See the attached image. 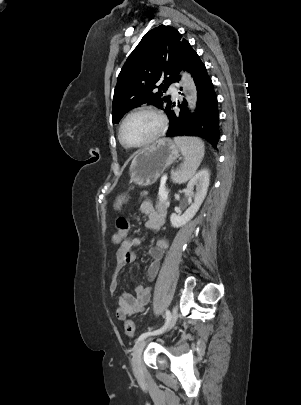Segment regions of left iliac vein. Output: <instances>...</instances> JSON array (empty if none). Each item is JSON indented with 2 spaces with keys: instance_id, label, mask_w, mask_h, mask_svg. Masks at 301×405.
I'll return each mask as SVG.
<instances>
[{
  "instance_id": "obj_1",
  "label": "left iliac vein",
  "mask_w": 301,
  "mask_h": 405,
  "mask_svg": "<svg viewBox=\"0 0 301 405\" xmlns=\"http://www.w3.org/2000/svg\"><path fill=\"white\" fill-rule=\"evenodd\" d=\"M178 318V311L177 308L174 306L172 309V315H171V320L166 328V331H169L174 325L176 324ZM147 343V340H142L137 345L134 347L133 350V357H132V367H133V372L135 376H141L142 375V365H141V358H142V352Z\"/></svg>"
}]
</instances>
